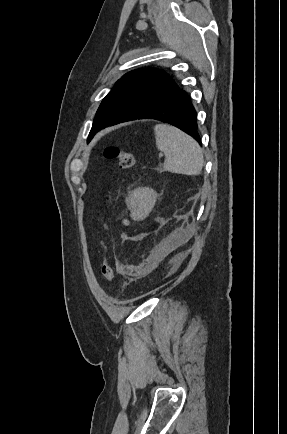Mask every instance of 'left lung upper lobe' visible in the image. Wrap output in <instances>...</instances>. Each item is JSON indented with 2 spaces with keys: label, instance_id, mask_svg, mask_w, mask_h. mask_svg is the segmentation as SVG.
Wrapping results in <instances>:
<instances>
[{
  "label": "left lung upper lobe",
  "instance_id": "5c2ea615",
  "mask_svg": "<svg viewBox=\"0 0 287 434\" xmlns=\"http://www.w3.org/2000/svg\"><path fill=\"white\" fill-rule=\"evenodd\" d=\"M178 89L173 79L161 70L138 69L128 72L117 81L100 104L88 142L98 130L127 121L140 109Z\"/></svg>",
  "mask_w": 287,
  "mask_h": 434
}]
</instances>
